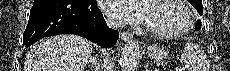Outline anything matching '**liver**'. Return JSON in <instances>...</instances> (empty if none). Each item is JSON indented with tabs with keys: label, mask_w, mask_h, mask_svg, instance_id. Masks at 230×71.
I'll list each match as a JSON object with an SVG mask.
<instances>
[{
	"label": "liver",
	"mask_w": 230,
	"mask_h": 71,
	"mask_svg": "<svg viewBox=\"0 0 230 71\" xmlns=\"http://www.w3.org/2000/svg\"><path fill=\"white\" fill-rule=\"evenodd\" d=\"M92 52V43L82 37L54 36L30 49L24 71H84Z\"/></svg>",
	"instance_id": "liver-1"
}]
</instances>
